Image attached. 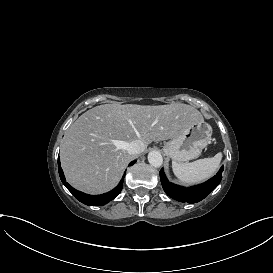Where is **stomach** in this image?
<instances>
[{"label":"stomach","instance_id":"obj_1","mask_svg":"<svg viewBox=\"0 0 273 273\" xmlns=\"http://www.w3.org/2000/svg\"><path fill=\"white\" fill-rule=\"evenodd\" d=\"M213 127L203 120L191 123L179 136L164 144V153L175 162L196 158L212 139Z\"/></svg>","mask_w":273,"mask_h":273}]
</instances>
